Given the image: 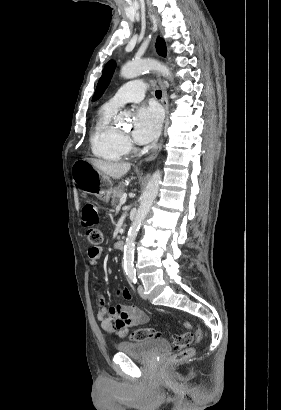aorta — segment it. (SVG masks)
<instances>
[{"label":"aorta","mask_w":281,"mask_h":410,"mask_svg":"<svg viewBox=\"0 0 281 410\" xmlns=\"http://www.w3.org/2000/svg\"><path fill=\"white\" fill-rule=\"evenodd\" d=\"M155 70L165 77H171V72L165 65L152 60V59H142L139 61H132L126 63L121 68V75L125 79H132L139 76L144 71ZM127 115L121 113L118 117L119 122L125 121ZM161 173L157 170L150 178L140 200V205L137 210L136 216L132 225L129 228L127 238L124 245V269L127 274L134 273V249H135V239L139 232L142 222L146 218L159 190V185L161 183Z\"/></svg>","instance_id":"obj_1"}]
</instances>
